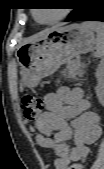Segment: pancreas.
<instances>
[{
	"label": "pancreas",
	"mask_w": 104,
	"mask_h": 169,
	"mask_svg": "<svg viewBox=\"0 0 104 169\" xmlns=\"http://www.w3.org/2000/svg\"><path fill=\"white\" fill-rule=\"evenodd\" d=\"M69 67H70V69H71L73 72H75L76 74H79V75L82 74V73H81V70H80V68L82 67V64L80 63V61L75 60V61L71 62V63L69 64Z\"/></svg>",
	"instance_id": "pancreas-1"
}]
</instances>
